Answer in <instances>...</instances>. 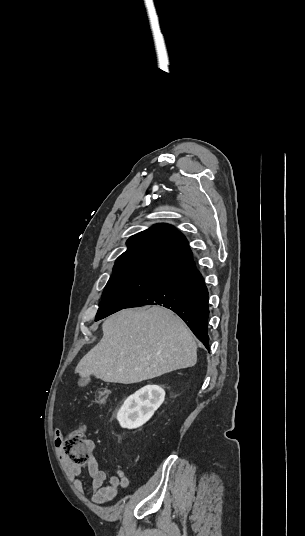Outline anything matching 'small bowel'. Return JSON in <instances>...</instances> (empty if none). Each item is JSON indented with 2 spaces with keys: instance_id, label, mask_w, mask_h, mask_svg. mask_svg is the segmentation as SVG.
I'll list each match as a JSON object with an SVG mask.
<instances>
[{
  "instance_id": "1",
  "label": "small bowel",
  "mask_w": 305,
  "mask_h": 536,
  "mask_svg": "<svg viewBox=\"0 0 305 536\" xmlns=\"http://www.w3.org/2000/svg\"><path fill=\"white\" fill-rule=\"evenodd\" d=\"M51 437L54 440L55 447L68 477L74 481L76 489L82 492V464L74 462L70 455L63 452V439H61L62 434L60 431H53ZM87 447L89 455L86 466L88 474L92 478V500L97 504H107L117 496L120 488L129 486V478L120 469H117L115 474L108 477L106 473L99 468L98 462L92 454L93 443L91 441L87 442Z\"/></svg>"
}]
</instances>
